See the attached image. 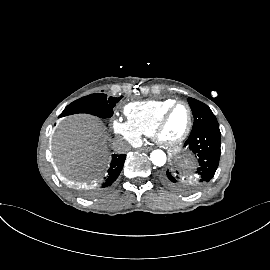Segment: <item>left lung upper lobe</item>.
<instances>
[{
    "instance_id": "obj_1",
    "label": "left lung upper lobe",
    "mask_w": 270,
    "mask_h": 270,
    "mask_svg": "<svg viewBox=\"0 0 270 270\" xmlns=\"http://www.w3.org/2000/svg\"><path fill=\"white\" fill-rule=\"evenodd\" d=\"M188 102L194 116V124L191 132L205 126H218L215 115L206 104L193 98H189Z\"/></svg>"
}]
</instances>
